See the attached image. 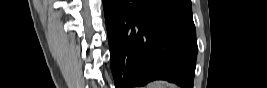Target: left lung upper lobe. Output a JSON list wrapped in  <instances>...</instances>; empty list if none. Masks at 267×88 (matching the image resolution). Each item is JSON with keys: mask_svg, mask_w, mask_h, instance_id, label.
<instances>
[{"mask_svg": "<svg viewBox=\"0 0 267 88\" xmlns=\"http://www.w3.org/2000/svg\"><path fill=\"white\" fill-rule=\"evenodd\" d=\"M183 1H185V2H188V3H191V1H190V0H183Z\"/></svg>", "mask_w": 267, "mask_h": 88, "instance_id": "5c2ea615", "label": "left lung upper lobe"}]
</instances>
